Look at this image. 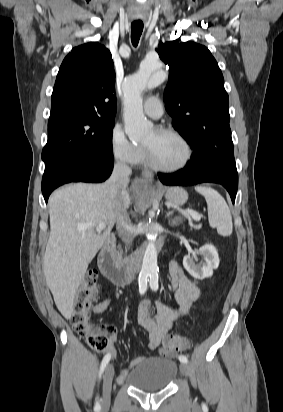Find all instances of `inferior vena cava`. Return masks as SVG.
Returning a JSON list of instances; mask_svg holds the SVG:
<instances>
[{
  "label": "inferior vena cava",
  "mask_w": 283,
  "mask_h": 412,
  "mask_svg": "<svg viewBox=\"0 0 283 412\" xmlns=\"http://www.w3.org/2000/svg\"><path fill=\"white\" fill-rule=\"evenodd\" d=\"M131 174V168L122 161H118L114 165L113 172L108 180L109 184L120 186L123 183L129 181V175ZM116 212H117V221L116 229L122 241L130 246L133 242L135 234L132 230V225L130 218L128 216L127 210L122 203L120 197L117 198L116 202Z\"/></svg>",
  "instance_id": "obj_1"
}]
</instances>
